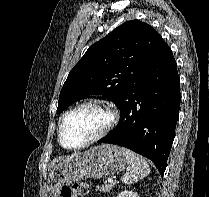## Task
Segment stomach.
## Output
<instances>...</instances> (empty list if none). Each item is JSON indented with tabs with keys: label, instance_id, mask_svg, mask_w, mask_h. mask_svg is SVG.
Returning <instances> with one entry per match:
<instances>
[{
	"label": "stomach",
	"instance_id": "1",
	"mask_svg": "<svg viewBox=\"0 0 209 197\" xmlns=\"http://www.w3.org/2000/svg\"><path fill=\"white\" fill-rule=\"evenodd\" d=\"M127 160L115 145H100L53 168L47 179L49 197H58L63 186L84 178H102L124 170Z\"/></svg>",
	"mask_w": 209,
	"mask_h": 197
}]
</instances>
